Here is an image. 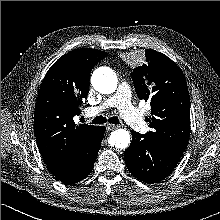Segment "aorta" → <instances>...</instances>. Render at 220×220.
<instances>
[{"mask_svg":"<svg viewBox=\"0 0 220 220\" xmlns=\"http://www.w3.org/2000/svg\"><path fill=\"white\" fill-rule=\"evenodd\" d=\"M92 85L96 91L102 94L113 93L118 84L115 72L108 67H100L96 69L91 78ZM131 141L130 133L126 129H117L111 133L109 144L118 149H125Z\"/></svg>","mask_w":220,"mask_h":220,"instance_id":"aorta-1","label":"aorta"}]
</instances>
